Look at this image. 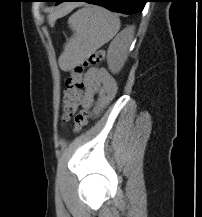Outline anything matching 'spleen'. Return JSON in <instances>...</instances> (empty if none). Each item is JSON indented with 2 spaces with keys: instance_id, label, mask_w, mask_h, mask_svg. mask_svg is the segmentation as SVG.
<instances>
[{
  "instance_id": "1",
  "label": "spleen",
  "mask_w": 202,
  "mask_h": 217,
  "mask_svg": "<svg viewBox=\"0 0 202 217\" xmlns=\"http://www.w3.org/2000/svg\"><path fill=\"white\" fill-rule=\"evenodd\" d=\"M74 32L64 48L69 60L84 58L110 41L120 29V19L100 6H89L76 11L68 20ZM130 39L133 31H129Z\"/></svg>"
}]
</instances>
